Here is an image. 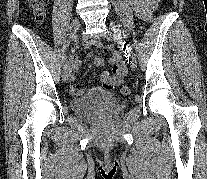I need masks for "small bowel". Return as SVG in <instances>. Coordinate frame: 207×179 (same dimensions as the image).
Segmentation results:
<instances>
[{
	"label": "small bowel",
	"mask_w": 207,
	"mask_h": 179,
	"mask_svg": "<svg viewBox=\"0 0 207 179\" xmlns=\"http://www.w3.org/2000/svg\"><path fill=\"white\" fill-rule=\"evenodd\" d=\"M159 0H128L129 6L132 10L142 19L148 20L156 8ZM106 53H113L109 62L112 66V72L102 71L98 74L102 84V88L105 90H112L123 81L124 76L127 73L126 64L123 60L122 55L119 52L114 51L113 45H102L98 44ZM94 63L98 67H104L105 63L102 58L95 56ZM81 61L79 58L73 56L70 59L68 68L73 74L79 70ZM71 75V80H74V75ZM81 90L76 87H71V92L74 94L79 93Z\"/></svg>",
	"instance_id": "obj_1"
}]
</instances>
